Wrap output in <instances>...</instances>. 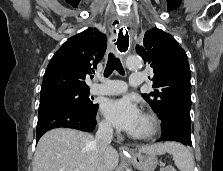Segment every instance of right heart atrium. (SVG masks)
Returning a JSON list of instances; mask_svg holds the SVG:
<instances>
[{"label": "right heart atrium", "mask_w": 223, "mask_h": 171, "mask_svg": "<svg viewBox=\"0 0 223 171\" xmlns=\"http://www.w3.org/2000/svg\"><path fill=\"white\" fill-rule=\"evenodd\" d=\"M100 128H101L103 131H106V132L111 131V126H110V124H109L107 121H105V120H103V121L100 122Z\"/></svg>", "instance_id": "d8ad5b80"}]
</instances>
